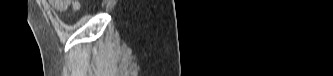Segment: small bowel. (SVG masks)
I'll list each match as a JSON object with an SVG mask.
<instances>
[{"label":"small bowel","instance_id":"1","mask_svg":"<svg viewBox=\"0 0 333 76\" xmlns=\"http://www.w3.org/2000/svg\"><path fill=\"white\" fill-rule=\"evenodd\" d=\"M50 7L59 12H65L70 10L68 16H74L81 8V4L78 0H49Z\"/></svg>","mask_w":333,"mask_h":76}]
</instances>
